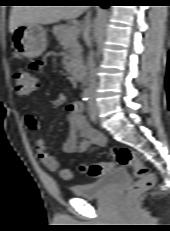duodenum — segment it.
I'll list each match as a JSON object with an SVG mask.
<instances>
[{"label":"duodenum","instance_id":"duodenum-1","mask_svg":"<svg viewBox=\"0 0 170 231\" xmlns=\"http://www.w3.org/2000/svg\"><path fill=\"white\" fill-rule=\"evenodd\" d=\"M86 68L83 64H78L74 69L73 73L76 77H81L85 74Z\"/></svg>","mask_w":170,"mask_h":231}]
</instances>
